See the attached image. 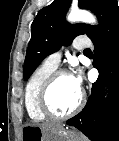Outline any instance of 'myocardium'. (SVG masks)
<instances>
[{"label": "myocardium", "mask_w": 119, "mask_h": 141, "mask_svg": "<svg viewBox=\"0 0 119 141\" xmlns=\"http://www.w3.org/2000/svg\"><path fill=\"white\" fill-rule=\"evenodd\" d=\"M62 75L72 76L71 73L66 69L55 70L44 81V83L42 84L40 88L39 94H38V105H39L40 111L46 117L51 118V119H56V120L66 119V118H69L75 115L76 113H78L81 110L84 104V94L80 91L79 100L77 104L75 105V107L71 109L70 111L65 112V113H58L51 108L50 103H49V95H50L51 89L53 85L55 84L56 80Z\"/></svg>", "instance_id": "obj_1"}]
</instances>
